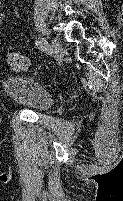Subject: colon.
Instances as JSON below:
<instances>
[{"instance_id": "5ec220e1", "label": "colon", "mask_w": 123, "mask_h": 201, "mask_svg": "<svg viewBox=\"0 0 123 201\" xmlns=\"http://www.w3.org/2000/svg\"><path fill=\"white\" fill-rule=\"evenodd\" d=\"M9 67L14 71L26 70L30 66L29 59L21 54L10 51L7 57Z\"/></svg>"}]
</instances>
